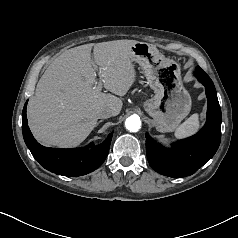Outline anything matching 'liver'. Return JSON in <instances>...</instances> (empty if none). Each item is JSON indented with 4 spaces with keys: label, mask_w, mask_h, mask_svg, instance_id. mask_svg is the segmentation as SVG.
<instances>
[{
    "label": "liver",
    "mask_w": 238,
    "mask_h": 238,
    "mask_svg": "<svg viewBox=\"0 0 238 238\" xmlns=\"http://www.w3.org/2000/svg\"><path fill=\"white\" fill-rule=\"evenodd\" d=\"M135 40L85 44L66 50L48 66L28 103L29 127L43 145L75 147L91 133L103 107L120 113L136 80L131 47ZM93 48V60L91 50ZM111 93L93 85L96 76Z\"/></svg>",
    "instance_id": "1"
}]
</instances>
